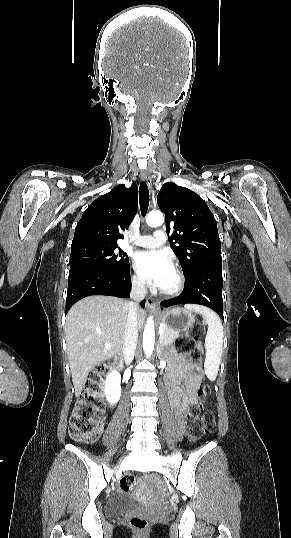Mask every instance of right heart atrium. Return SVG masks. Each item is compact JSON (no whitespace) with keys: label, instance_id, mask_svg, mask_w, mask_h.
Returning <instances> with one entry per match:
<instances>
[{"label":"right heart atrium","instance_id":"right-heart-atrium-1","mask_svg":"<svg viewBox=\"0 0 291 538\" xmlns=\"http://www.w3.org/2000/svg\"><path fill=\"white\" fill-rule=\"evenodd\" d=\"M132 283H133V285H134V287H135L136 289L141 290V289L144 288V283H143L142 279L139 278V277L136 276V275H134V276L132 277Z\"/></svg>","mask_w":291,"mask_h":538}]
</instances>
